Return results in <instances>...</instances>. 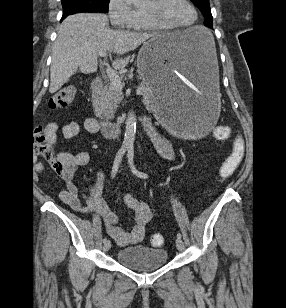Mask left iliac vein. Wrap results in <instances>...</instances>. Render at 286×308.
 <instances>
[{
  "mask_svg": "<svg viewBox=\"0 0 286 308\" xmlns=\"http://www.w3.org/2000/svg\"><path fill=\"white\" fill-rule=\"evenodd\" d=\"M176 247L179 251H182L184 249V242L181 238L176 239Z\"/></svg>",
  "mask_w": 286,
  "mask_h": 308,
  "instance_id": "left-iliac-vein-1",
  "label": "left iliac vein"
}]
</instances>
